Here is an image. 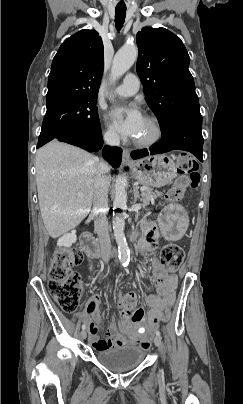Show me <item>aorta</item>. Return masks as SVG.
<instances>
[{"label":"aorta","instance_id":"762f6f07","mask_svg":"<svg viewBox=\"0 0 243 404\" xmlns=\"http://www.w3.org/2000/svg\"><path fill=\"white\" fill-rule=\"evenodd\" d=\"M138 56V48L135 44H124L114 56L111 68V80L115 82L121 78L125 72L130 70ZM113 100V98H110ZM117 173L115 184V196L113 202V234L117 242L119 260L121 264H127L129 260V250L124 234L125 219L127 218V194L125 186L127 184L128 173L125 167H120Z\"/></svg>","mask_w":243,"mask_h":404}]
</instances>
